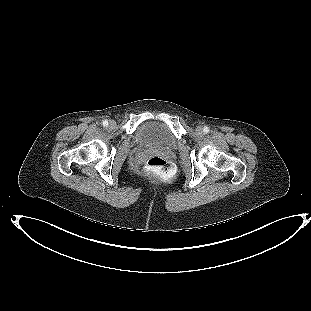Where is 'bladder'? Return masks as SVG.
<instances>
[{"label": "bladder", "instance_id": "1", "mask_svg": "<svg viewBox=\"0 0 311 311\" xmlns=\"http://www.w3.org/2000/svg\"><path fill=\"white\" fill-rule=\"evenodd\" d=\"M136 140L150 147L174 148L177 144L172 129L164 122L151 120L145 122L136 132Z\"/></svg>", "mask_w": 311, "mask_h": 311}]
</instances>
